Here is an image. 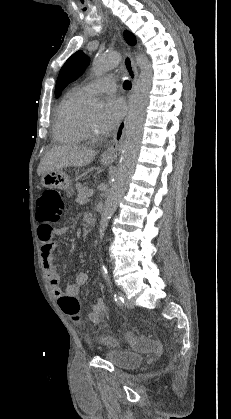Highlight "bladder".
I'll use <instances>...</instances> for the list:
<instances>
[{"label": "bladder", "mask_w": 231, "mask_h": 419, "mask_svg": "<svg viewBox=\"0 0 231 419\" xmlns=\"http://www.w3.org/2000/svg\"><path fill=\"white\" fill-rule=\"evenodd\" d=\"M103 358L111 362L116 368L130 369L139 366L144 357L132 351L108 348L103 353Z\"/></svg>", "instance_id": "bladder-1"}]
</instances>
